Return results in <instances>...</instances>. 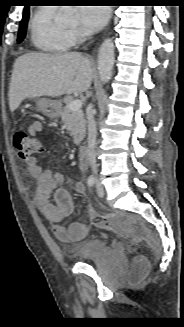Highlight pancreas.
Listing matches in <instances>:
<instances>
[{
  "mask_svg": "<svg viewBox=\"0 0 184 327\" xmlns=\"http://www.w3.org/2000/svg\"><path fill=\"white\" fill-rule=\"evenodd\" d=\"M71 101L72 98L66 101V106L61 110L60 116L70 136L73 137L74 144L79 145L85 137L86 121L83 111H71L69 109L68 104Z\"/></svg>",
  "mask_w": 184,
  "mask_h": 327,
  "instance_id": "obj_1",
  "label": "pancreas"
}]
</instances>
